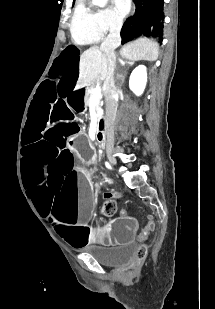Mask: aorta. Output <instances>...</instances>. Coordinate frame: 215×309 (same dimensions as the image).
Masks as SVG:
<instances>
[{"instance_id":"762f6f07","label":"aorta","mask_w":215,"mask_h":309,"mask_svg":"<svg viewBox=\"0 0 215 309\" xmlns=\"http://www.w3.org/2000/svg\"><path fill=\"white\" fill-rule=\"evenodd\" d=\"M108 0H92V4H96V6H106Z\"/></svg>"}]
</instances>
